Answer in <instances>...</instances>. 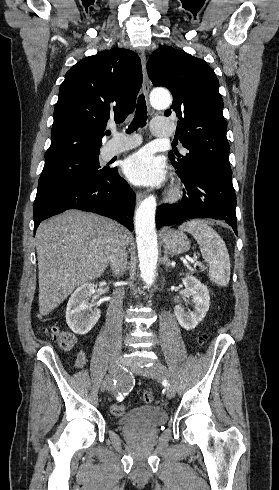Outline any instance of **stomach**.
I'll return each mask as SVG.
<instances>
[{
    "instance_id": "0dacf381",
    "label": "stomach",
    "mask_w": 279,
    "mask_h": 490,
    "mask_svg": "<svg viewBox=\"0 0 279 490\" xmlns=\"http://www.w3.org/2000/svg\"><path fill=\"white\" fill-rule=\"evenodd\" d=\"M162 244L169 252V254H184L189 250V242L187 236L183 232H178V230H169V228H163L161 232Z\"/></svg>"
}]
</instances>
